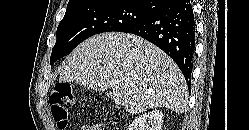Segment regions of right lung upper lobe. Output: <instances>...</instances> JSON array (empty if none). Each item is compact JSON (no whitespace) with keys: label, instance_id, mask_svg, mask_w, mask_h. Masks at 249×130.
Masks as SVG:
<instances>
[{"label":"right lung upper lobe","instance_id":"right-lung-upper-lobe-1","mask_svg":"<svg viewBox=\"0 0 249 130\" xmlns=\"http://www.w3.org/2000/svg\"><path fill=\"white\" fill-rule=\"evenodd\" d=\"M97 1H105V0H69L66 11L90 3H94ZM129 1L137 4L138 6L150 9L155 12L163 8L172 0H129Z\"/></svg>","mask_w":249,"mask_h":130}]
</instances>
